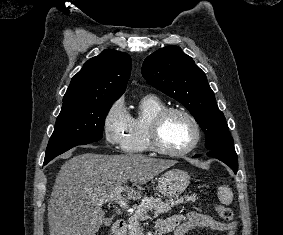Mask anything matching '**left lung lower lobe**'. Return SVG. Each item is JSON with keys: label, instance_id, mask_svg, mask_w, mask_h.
<instances>
[{"label": "left lung lower lobe", "instance_id": "0a47b994", "mask_svg": "<svg viewBox=\"0 0 283 235\" xmlns=\"http://www.w3.org/2000/svg\"><path fill=\"white\" fill-rule=\"evenodd\" d=\"M208 156L219 159L227 164L235 173L238 170V157L234 149H219L211 150L207 153ZM200 155H195L194 158Z\"/></svg>", "mask_w": 283, "mask_h": 235}]
</instances>
